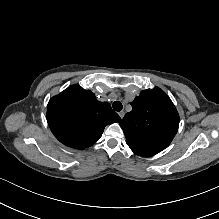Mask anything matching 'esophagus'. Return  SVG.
Segmentation results:
<instances>
[{
  "label": "esophagus",
  "mask_w": 219,
  "mask_h": 219,
  "mask_svg": "<svg viewBox=\"0 0 219 219\" xmlns=\"http://www.w3.org/2000/svg\"><path fill=\"white\" fill-rule=\"evenodd\" d=\"M124 112L123 111H121L120 113H119V116H120V118L122 119L123 117H124Z\"/></svg>",
  "instance_id": "34e87169"
}]
</instances>
